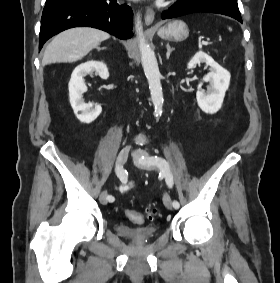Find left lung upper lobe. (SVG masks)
<instances>
[{
    "label": "left lung upper lobe",
    "mask_w": 280,
    "mask_h": 283,
    "mask_svg": "<svg viewBox=\"0 0 280 283\" xmlns=\"http://www.w3.org/2000/svg\"><path fill=\"white\" fill-rule=\"evenodd\" d=\"M209 1L216 2V3H219V4H223V5L228 6V7L232 8L236 11H239L237 0H209Z\"/></svg>",
    "instance_id": "obj_1"
}]
</instances>
